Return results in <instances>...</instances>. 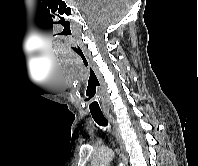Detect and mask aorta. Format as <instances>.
I'll return each instance as SVG.
<instances>
[{"label":"aorta","instance_id":"1","mask_svg":"<svg viewBox=\"0 0 198 166\" xmlns=\"http://www.w3.org/2000/svg\"><path fill=\"white\" fill-rule=\"evenodd\" d=\"M114 153L111 149H102L93 158L92 166H109Z\"/></svg>","mask_w":198,"mask_h":166}]
</instances>
